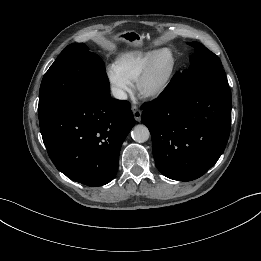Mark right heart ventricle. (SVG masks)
<instances>
[{"label":"right heart ventricle","mask_w":261,"mask_h":261,"mask_svg":"<svg viewBox=\"0 0 261 261\" xmlns=\"http://www.w3.org/2000/svg\"><path fill=\"white\" fill-rule=\"evenodd\" d=\"M156 51L122 53L116 58L113 65L122 77L132 83L137 81Z\"/></svg>","instance_id":"right-heart-ventricle-1"}]
</instances>
